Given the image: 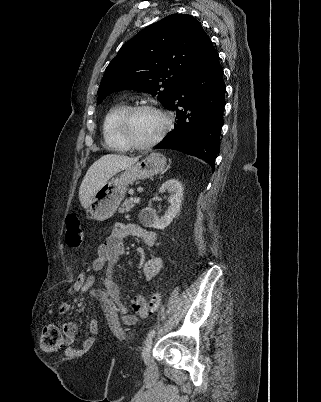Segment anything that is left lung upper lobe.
<instances>
[{
  "label": "left lung upper lobe",
  "instance_id": "1",
  "mask_svg": "<svg viewBox=\"0 0 321 402\" xmlns=\"http://www.w3.org/2000/svg\"><path fill=\"white\" fill-rule=\"evenodd\" d=\"M209 40L190 15L173 14L144 28L107 66L97 104L109 94L127 89L157 95L168 108L180 81Z\"/></svg>",
  "mask_w": 321,
  "mask_h": 402
}]
</instances>
